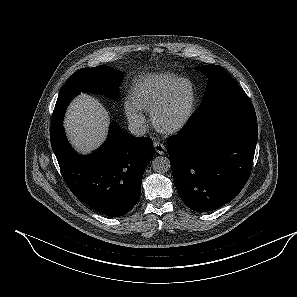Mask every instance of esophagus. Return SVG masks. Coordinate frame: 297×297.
Wrapping results in <instances>:
<instances>
[{
  "mask_svg": "<svg viewBox=\"0 0 297 297\" xmlns=\"http://www.w3.org/2000/svg\"><path fill=\"white\" fill-rule=\"evenodd\" d=\"M154 150H155V152L157 154L163 155L165 153L166 148L162 143L155 142L154 143Z\"/></svg>",
  "mask_w": 297,
  "mask_h": 297,
  "instance_id": "34e87169",
  "label": "esophagus"
}]
</instances>
